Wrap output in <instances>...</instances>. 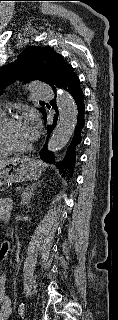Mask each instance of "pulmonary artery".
<instances>
[{
	"label": "pulmonary artery",
	"instance_id": "1",
	"mask_svg": "<svg viewBox=\"0 0 118 320\" xmlns=\"http://www.w3.org/2000/svg\"><path fill=\"white\" fill-rule=\"evenodd\" d=\"M32 93L40 100H49L53 98L52 90L41 83H34L31 87ZM0 110L2 111L1 107Z\"/></svg>",
	"mask_w": 118,
	"mask_h": 320
}]
</instances>
